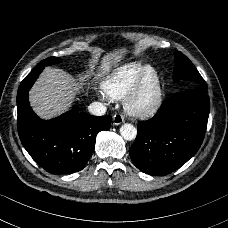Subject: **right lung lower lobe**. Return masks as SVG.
Listing matches in <instances>:
<instances>
[{
  "instance_id": "1",
  "label": "right lung lower lobe",
  "mask_w": 228,
  "mask_h": 228,
  "mask_svg": "<svg viewBox=\"0 0 228 228\" xmlns=\"http://www.w3.org/2000/svg\"><path fill=\"white\" fill-rule=\"evenodd\" d=\"M43 68H34L21 82L17 93V127L20 140L43 169L52 174L82 170L90 158L96 135L111 124V116H90L72 109L61 116L40 119L28 102V90Z\"/></svg>"
}]
</instances>
